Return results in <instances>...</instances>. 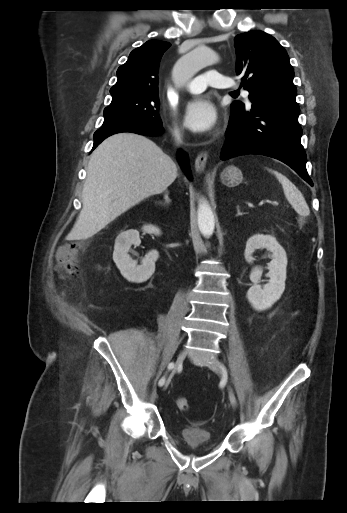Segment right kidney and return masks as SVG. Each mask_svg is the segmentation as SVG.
I'll return each mask as SVG.
<instances>
[{
    "label": "right kidney",
    "instance_id": "obj_1",
    "mask_svg": "<svg viewBox=\"0 0 347 513\" xmlns=\"http://www.w3.org/2000/svg\"><path fill=\"white\" fill-rule=\"evenodd\" d=\"M142 230L148 234L161 235V230L154 225H144ZM141 243L137 230H128L119 234L115 240L113 260L122 276L128 281L141 283L151 277L155 271V261L159 254L156 250L147 253L138 265L128 254L131 245Z\"/></svg>",
    "mask_w": 347,
    "mask_h": 513
}]
</instances>
